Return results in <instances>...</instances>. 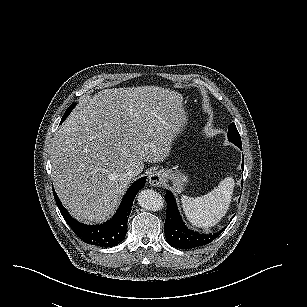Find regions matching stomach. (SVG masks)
Wrapping results in <instances>:
<instances>
[{
  "label": "stomach",
  "instance_id": "stomach-1",
  "mask_svg": "<svg viewBox=\"0 0 307 307\" xmlns=\"http://www.w3.org/2000/svg\"><path fill=\"white\" fill-rule=\"evenodd\" d=\"M159 174H162L164 177V182L166 180L172 181V189L176 193H181L184 191L186 184L189 182V177L181 170L178 169V166L173 167L172 169H162L157 171Z\"/></svg>",
  "mask_w": 307,
  "mask_h": 307
}]
</instances>
